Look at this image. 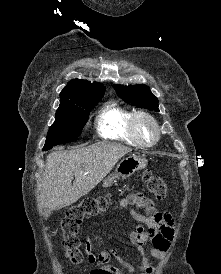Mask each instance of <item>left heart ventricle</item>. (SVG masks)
Returning <instances> with one entry per match:
<instances>
[{"label": "left heart ventricle", "mask_w": 221, "mask_h": 274, "mask_svg": "<svg viewBox=\"0 0 221 274\" xmlns=\"http://www.w3.org/2000/svg\"><path fill=\"white\" fill-rule=\"evenodd\" d=\"M139 132L142 139L146 142H152L154 139V130L152 125L147 121H141L139 125Z\"/></svg>", "instance_id": "obj_1"}]
</instances>
